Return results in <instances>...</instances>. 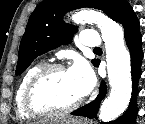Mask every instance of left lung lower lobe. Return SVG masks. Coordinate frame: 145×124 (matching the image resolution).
<instances>
[{"label": "left lung lower lobe", "instance_id": "0a47b994", "mask_svg": "<svg viewBox=\"0 0 145 124\" xmlns=\"http://www.w3.org/2000/svg\"><path fill=\"white\" fill-rule=\"evenodd\" d=\"M120 24L124 27L125 41L131 54L132 64V86L133 94L126 112L118 119L107 124H135L137 115V83L141 75L142 63V36L139 30V20L137 19L132 7L128 8L118 19ZM99 65L97 62L96 66ZM105 82H101L100 90L97 98L74 112L72 115H80L88 118H96L99 111L100 103L105 98L107 89Z\"/></svg>", "mask_w": 145, "mask_h": 124}]
</instances>
